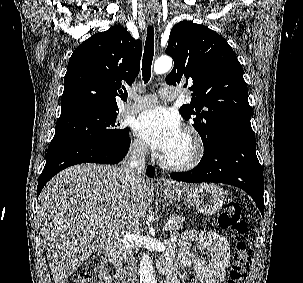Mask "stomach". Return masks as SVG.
Listing matches in <instances>:
<instances>
[{"instance_id": "0dacf381", "label": "stomach", "mask_w": 303, "mask_h": 283, "mask_svg": "<svg viewBox=\"0 0 303 283\" xmlns=\"http://www.w3.org/2000/svg\"><path fill=\"white\" fill-rule=\"evenodd\" d=\"M163 195L173 199L185 196L187 202L203 215H213L219 211L227 201L226 192L219 186L213 184H201L194 187H185L180 191H173L170 188H160ZM172 206L173 203H170Z\"/></svg>"}]
</instances>
